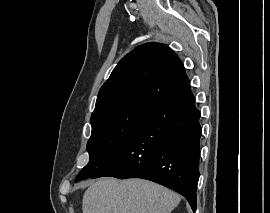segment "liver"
Returning <instances> with one entry per match:
<instances>
[{"label":"liver","instance_id":"obj_1","mask_svg":"<svg viewBox=\"0 0 270 213\" xmlns=\"http://www.w3.org/2000/svg\"><path fill=\"white\" fill-rule=\"evenodd\" d=\"M180 200L178 194L153 182L103 178L85 191L82 210L83 213H171Z\"/></svg>","mask_w":270,"mask_h":213}]
</instances>
